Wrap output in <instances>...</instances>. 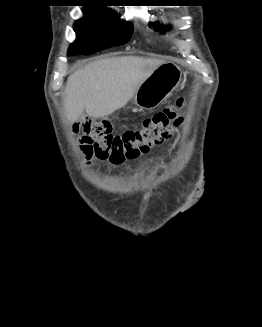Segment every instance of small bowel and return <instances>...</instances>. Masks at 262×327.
Returning <instances> with one entry per match:
<instances>
[{
  "mask_svg": "<svg viewBox=\"0 0 262 327\" xmlns=\"http://www.w3.org/2000/svg\"><path fill=\"white\" fill-rule=\"evenodd\" d=\"M73 131L75 132V133H78L79 131H80V125L79 124H75L74 126H73ZM85 154V153H84ZM86 156V158H87V161H89L92 157L91 156H89V155H85Z\"/></svg>",
  "mask_w": 262,
  "mask_h": 327,
  "instance_id": "1",
  "label": "small bowel"
}]
</instances>
